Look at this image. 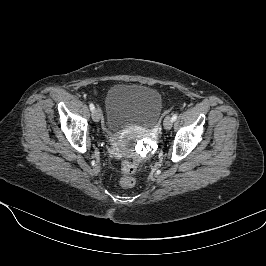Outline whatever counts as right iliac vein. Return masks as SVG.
I'll return each instance as SVG.
<instances>
[{"mask_svg": "<svg viewBox=\"0 0 266 266\" xmlns=\"http://www.w3.org/2000/svg\"><path fill=\"white\" fill-rule=\"evenodd\" d=\"M92 119L94 122H99V120L101 119V111L99 108H95L92 111Z\"/></svg>", "mask_w": 266, "mask_h": 266, "instance_id": "1", "label": "right iliac vein"}]
</instances>
